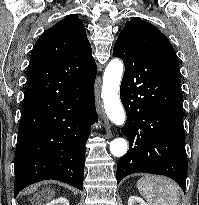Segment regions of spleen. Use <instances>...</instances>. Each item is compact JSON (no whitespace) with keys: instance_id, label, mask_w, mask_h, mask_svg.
<instances>
[{"instance_id":"3e777b00","label":"spleen","mask_w":199,"mask_h":205,"mask_svg":"<svg viewBox=\"0 0 199 205\" xmlns=\"http://www.w3.org/2000/svg\"><path fill=\"white\" fill-rule=\"evenodd\" d=\"M137 188L148 205H180L177 185L163 176L146 175L137 181Z\"/></svg>"}]
</instances>
